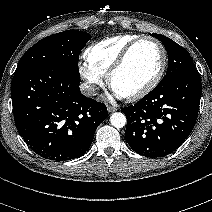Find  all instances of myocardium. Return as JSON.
Wrapping results in <instances>:
<instances>
[{"instance_id": "myocardium-1", "label": "myocardium", "mask_w": 212, "mask_h": 212, "mask_svg": "<svg viewBox=\"0 0 212 212\" xmlns=\"http://www.w3.org/2000/svg\"><path fill=\"white\" fill-rule=\"evenodd\" d=\"M144 42L152 43L159 48V50L161 52V64H160V67H159L157 73L155 74V76L152 78V80L148 84H146L144 87H142L140 90L136 91L133 94H130L128 96H123L125 99H127L129 101L139 100V99L145 97L146 95H148L151 91H153L157 87V85L160 83V81L162 80V77H163L166 67H167L168 57H167V51H166L164 45L157 39H154L151 37H139V38L133 40L131 43H129L126 46V48L122 51V53L117 58L115 63L109 69V71L107 73V82H108L109 86L112 88V81H113L114 76L124 67V65L126 64L128 58H129L130 54L132 53V51L134 50V48L137 45L144 43Z\"/></svg>"}]
</instances>
